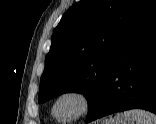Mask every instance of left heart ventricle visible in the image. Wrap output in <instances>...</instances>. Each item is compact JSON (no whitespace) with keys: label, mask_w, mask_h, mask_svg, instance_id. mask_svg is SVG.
<instances>
[{"label":"left heart ventricle","mask_w":156,"mask_h":124,"mask_svg":"<svg viewBox=\"0 0 156 124\" xmlns=\"http://www.w3.org/2000/svg\"><path fill=\"white\" fill-rule=\"evenodd\" d=\"M83 107L78 96L67 95L60 99L55 107V113L59 117H72L77 115Z\"/></svg>","instance_id":"b2bd125f"}]
</instances>
